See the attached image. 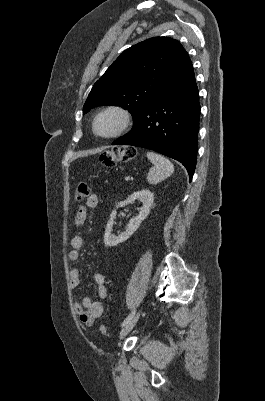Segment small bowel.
Masks as SVG:
<instances>
[{
	"instance_id": "c3829d8e",
	"label": "small bowel",
	"mask_w": 265,
	"mask_h": 401,
	"mask_svg": "<svg viewBox=\"0 0 265 401\" xmlns=\"http://www.w3.org/2000/svg\"><path fill=\"white\" fill-rule=\"evenodd\" d=\"M99 204V197L96 194H91L86 201L85 206L79 207L74 223L77 227L81 226L87 215V208H96ZM71 250L69 251L68 258L72 262L79 260L80 251L84 247V238L76 235L71 239ZM71 288L76 290L80 284L79 270L73 268L69 273ZM93 282L96 285L97 295L100 299L108 297V288L106 285V276L103 273L96 272L93 275ZM74 309L81 322L91 324L95 319L102 316L104 308L100 301H93L89 297H84L82 301L74 304Z\"/></svg>"
}]
</instances>
